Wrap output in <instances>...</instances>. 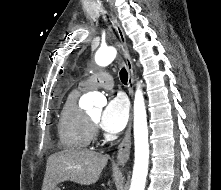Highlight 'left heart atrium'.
Returning a JSON list of instances; mask_svg holds the SVG:
<instances>
[{"label":"left heart atrium","mask_w":221,"mask_h":190,"mask_svg":"<svg viewBox=\"0 0 221 190\" xmlns=\"http://www.w3.org/2000/svg\"><path fill=\"white\" fill-rule=\"evenodd\" d=\"M129 117V104L125 97L116 96L108 100L100 117V126L109 133H118L126 125Z\"/></svg>","instance_id":"left-heart-atrium-1"}]
</instances>
